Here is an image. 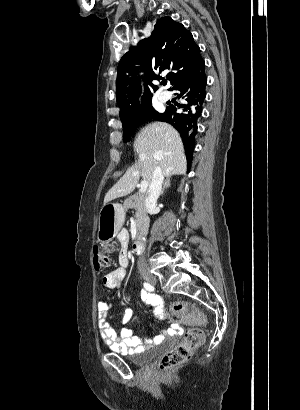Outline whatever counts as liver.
Returning a JSON list of instances; mask_svg holds the SVG:
<instances>
[{
  "label": "liver",
  "mask_w": 300,
  "mask_h": 410,
  "mask_svg": "<svg viewBox=\"0 0 300 410\" xmlns=\"http://www.w3.org/2000/svg\"><path fill=\"white\" fill-rule=\"evenodd\" d=\"M138 163L129 168L107 192L104 204L133 192L140 177L151 182L154 168L159 166L164 176L186 173L184 146L178 132L169 124L154 122L145 126L134 141Z\"/></svg>",
  "instance_id": "obj_1"
}]
</instances>
